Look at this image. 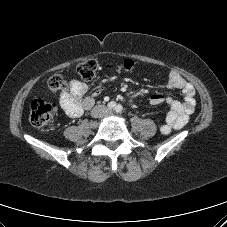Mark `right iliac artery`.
<instances>
[{"label": "right iliac artery", "instance_id": "right-iliac-artery-1", "mask_svg": "<svg viewBox=\"0 0 227 227\" xmlns=\"http://www.w3.org/2000/svg\"><path fill=\"white\" fill-rule=\"evenodd\" d=\"M107 106H108L109 109H114L116 107V103L114 101H111V102L108 103Z\"/></svg>", "mask_w": 227, "mask_h": 227}]
</instances>
